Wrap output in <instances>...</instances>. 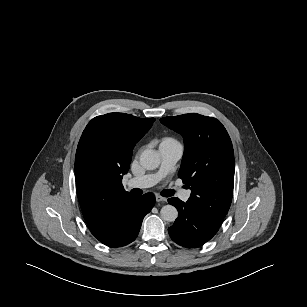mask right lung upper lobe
Segmentation results:
<instances>
[{
    "mask_svg": "<svg viewBox=\"0 0 307 307\" xmlns=\"http://www.w3.org/2000/svg\"><path fill=\"white\" fill-rule=\"evenodd\" d=\"M154 118L125 113L93 118L82 133L75 156L77 194L84 219L100 241L113 239L137 201L124 190L135 144L149 131Z\"/></svg>",
    "mask_w": 307,
    "mask_h": 307,
    "instance_id": "1",
    "label": "right lung upper lobe"
}]
</instances>
